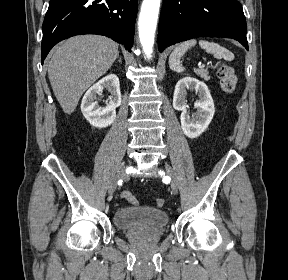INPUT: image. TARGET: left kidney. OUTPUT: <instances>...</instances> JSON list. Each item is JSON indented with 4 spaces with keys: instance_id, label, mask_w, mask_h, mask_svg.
<instances>
[{
    "instance_id": "5707ae66",
    "label": "left kidney",
    "mask_w": 288,
    "mask_h": 280,
    "mask_svg": "<svg viewBox=\"0 0 288 280\" xmlns=\"http://www.w3.org/2000/svg\"><path fill=\"white\" fill-rule=\"evenodd\" d=\"M187 90H195L200 98L194 104L197 112L191 116L187 111ZM173 108L182 111L181 128L189 138L199 137L208 128L215 113L214 102L207 85L192 77H185L177 82L173 96Z\"/></svg>"
}]
</instances>
